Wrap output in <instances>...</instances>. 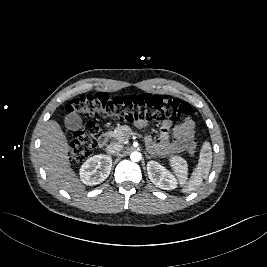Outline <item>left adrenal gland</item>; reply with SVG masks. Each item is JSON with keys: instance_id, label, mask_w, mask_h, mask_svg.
<instances>
[{"instance_id": "a2214340", "label": "left adrenal gland", "mask_w": 267, "mask_h": 267, "mask_svg": "<svg viewBox=\"0 0 267 267\" xmlns=\"http://www.w3.org/2000/svg\"><path fill=\"white\" fill-rule=\"evenodd\" d=\"M153 156H149L148 154H146V158L147 159H150V158H152Z\"/></svg>"}]
</instances>
